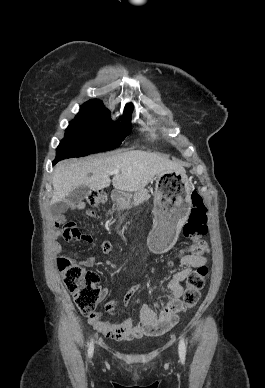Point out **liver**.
I'll return each instance as SVG.
<instances>
[{
  "label": "liver",
  "mask_w": 265,
  "mask_h": 388,
  "mask_svg": "<svg viewBox=\"0 0 265 388\" xmlns=\"http://www.w3.org/2000/svg\"><path fill=\"white\" fill-rule=\"evenodd\" d=\"M120 170L112 184L116 190L138 192L145 188L156 174L184 172V168L163 156L131 150L116 156L85 158L77 164H58L52 178L53 194L50 204L65 200L78 186H88L91 190H102L111 184L109 172Z\"/></svg>",
  "instance_id": "liver-1"
}]
</instances>
